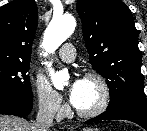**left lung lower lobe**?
Wrapping results in <instances>:
<instances>
[{"mask_svg":"<svg viewBox=\"0 0 147 131\" xmlns=\"http://www.w3.org/2000/svg\"><path fill=\"white\" fill-rule=\"evenodd\" d=\"M128 120L134 122L147 130V107L125 106L114 109H107L99 116L87 120L85 123L98 120Z\"/></svg>","mask_w":147,"mask_h":131,"instance_id":"obj_1","label":"left lung lower lobe"}]
</instances>
